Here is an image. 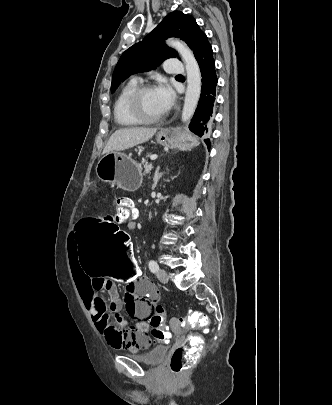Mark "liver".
Here are the masks:
<instances>
[{
    "instance_id": "1",
    "label": "liver",
    "mask_w": 332,
    "mask_h": 405,
    "mask_svg": "<svg viewBox=\"0 0 332 405\" xmlns=\"http://www.w3.org/2000/svg\"><path fill=\"white\" fill-rule=\"evenodd\" d=\"M157 128H121L116 130L109 138L103 154L111 151H121L132 148L150 140L156 133Z\"/></svg>"
}]
</instances>
